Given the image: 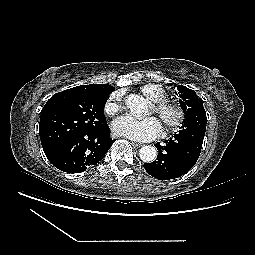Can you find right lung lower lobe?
<instances>
[{
	"label": "right lung lower lobe",
	"mask_w": 255,
	"mask_h": 255,
	"mask_svg": "<svg viewBox=\"0 0 255 255\" xmlns=\"http://www.w3.org/2000/svg\"><path fill=\"white\" fill-rule=\"evenodd\" d=\"M114 141L106 123L99 130L73 136L55 155L47 158L61 171L80 173L101 161Z\"/></svg>",
	"instance_id": "98d812e1"
}]
</instances>
